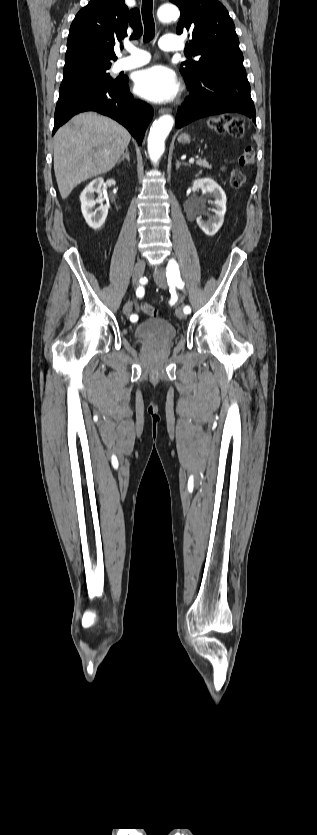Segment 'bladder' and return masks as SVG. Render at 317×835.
Masks as SVG:
<instances>
[{"instance_id":"obj_1","label":"bladder","mask_w":317,"mask_h":835,"mask_svg":"<svg viewBox=\"0 0 317 835\" xmlns=\"http://www.w3.org/2000/svg\"><path fill=\"white\" fill-rule=\"evenodd\" d=\"M134 336L139 341L165 344L176 338L177 330L168 320L154 316L141 321L134 329Z\"/></svg>"}]
</instances>
